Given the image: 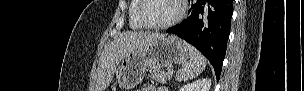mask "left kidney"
<instances>
[{
  "mask_svg": "<svg viewBox=\"0 0 304 91\" xmlns=\"http://www.w3.org/2000/svg\"><path fill=\"white\" fill-rule=\"evenodd\" d=\"M211 87V80L209 78H202L191 84L182 86L179 91H209Z\"/></svg>",
  "mask_w": 304,
  "mask_h": 91,
  "instance_id": "1",
  "label": "left kidney"
}]
</instances>
